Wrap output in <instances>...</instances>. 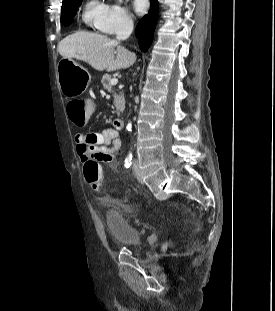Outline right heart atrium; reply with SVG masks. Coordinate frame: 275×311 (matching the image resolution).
I'll return each instance as SVG.
<instances>
[{"label": "right heart atrium", "mask_w": 275, "mask_h": 311, "mask_svg": "<svg viewBox=\"0 0 275 311\" xmlns=\"http://www.w3.org/2000/svg\"><path fill=\"white\" fill-rule=\"evenodd\" d=\"M133 25V16L128 9L119 3H113L107 5L97 28L102 33L114 35L130 31Z\"/></svg>", "instance_id": "1"}]
</instances>
